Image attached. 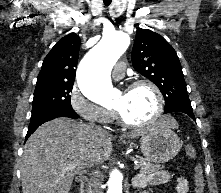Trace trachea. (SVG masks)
Listing matches in <instances>:
<instances>
[{
	"label": "trachea",
	"mask_w": 221,
	"mask_h": 193,
	"mask_svg": "<svg viewBox=\"0 0 221 193\" xmlns=\"http://www.w3.org/2000/svg\"><path fill=\"white\" fill-rule=\"evenodd\" d=\"M105 6H109L112 0H103Z\"/></svg>",
	"instance_id": "1"
}]
</instances>
